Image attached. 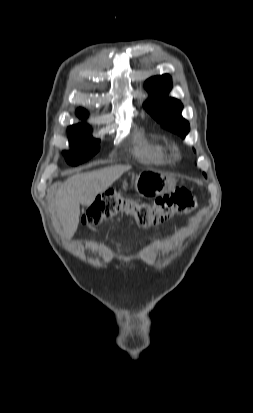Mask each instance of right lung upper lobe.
I'll list each match as a JSON object with an SVG mask.
<instances>
[{
    "mask_svg": "<svg viewBox=\"0 0 253 413\" xmlns=\"http://www.w3.org/2000/svg\"><path fill=\"white\" fill-rule=\"evenodd\" d=\"M77 115L79 117H86L87 116V112L84 109H78L77 110Z\"/></svg>",
    "mask_w": 253,
    "mask_h": 413,
    "instance_id": "right-lung-upper-lobe-1",
    "label": "right lung upper lobe"
}]
</instances>
